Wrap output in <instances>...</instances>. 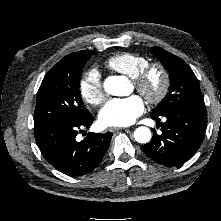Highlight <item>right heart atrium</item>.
<instances>
[{
  "label": "right heart atrium",
  "instance_id": "obj_1",
  "mask_svg": "<svg viewBox=\"0 0 221 221\" xmlns=\"http://www.w3.org/2000/svg\"><path fill=\"white\" fill-rule=\"evenodd\" d=\"M82 99L89 105L98 106L105 99V90L101 76L96 69H89L79 82Z\"/></svg>",
  "mask_w": 221,
  "mask_h": 221
}]
</instances>
